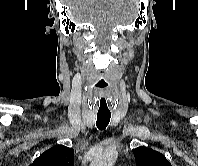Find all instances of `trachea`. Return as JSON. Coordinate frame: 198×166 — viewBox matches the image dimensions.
<instances>
[{
	"instance_id": "obj_1",
	"label": "trachea",
	"mask_w": 198,
	"mask_h": 166,
	"mask_svg": "<svg viewBox=\"0 0 198 166\" xmlns=\"http://www.w3.org/2000/svg\"><path fill=\"white\" fill-rule=\"evenodd\" d=\"M111 114L98 113L96 125L99 130H104L110 122Z\"/></svg>"
}]
</instances>
